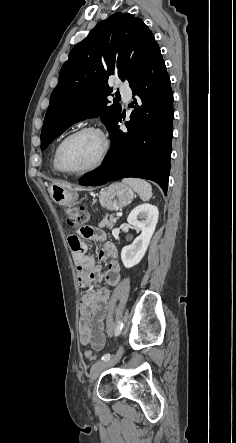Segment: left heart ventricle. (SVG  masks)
I'll return each instance as SVG.
<instances>
[{
  "instance_id": "1",
  "label": "left heart ventricle",
  "mask_w": 236,
  "mask_h": 443,
  "mask_svg": "<svg viewBox=\"0 0 236 443\" xmlns=\"http://www.w3.org/2000/svg\"><path fill=\"white\" fill-rule=\"evenodd\" d=\"M100 138L91 132L70 139L62 150V163L68 170H83L92 166L101 152Z\"/></svg>"
}]
</instances>
